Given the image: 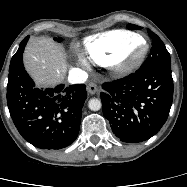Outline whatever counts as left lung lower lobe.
<instances>
[{"instance_id": "0a47b994", "label": "left lung lower lobe", "mask_w": 187, "mask_h": 187, "mask_svg": "<svg viewBox=\"0 0 187 187\" xmlns=\"http://www.w3.org/2000/svg\"><path fill=\"white\" fill-rule=\"evenodd\" d=\"M102 87L104 116L121 141H145L166 122L173 101L171 66L140 68Z\"/></svg>"}]
</instances>
